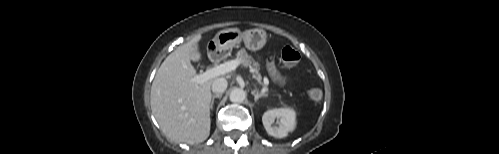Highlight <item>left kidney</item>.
I'll use <instances>...</instances> for the list:
<instances>
[{
	"label": "left kidney",
	"instance_id": "obj_1",
	"mask_svg": "<svg viewBox=\"0 0 499 154\" xmlns=\"http://www.w3.org/2000/svg\"><path fill=\"white\" fill-rule=\"evenodd\" d=\"M275 120H277V126L273 125ZM262 122L268 134L276 138H283L294 130L296 112L286 107L271 109L263 114Z\"/></svg>",
	"mask_w": 499,
	"mask_h": 154
}]
</instances>
